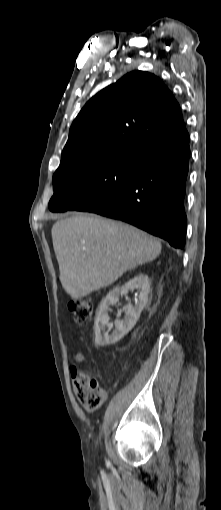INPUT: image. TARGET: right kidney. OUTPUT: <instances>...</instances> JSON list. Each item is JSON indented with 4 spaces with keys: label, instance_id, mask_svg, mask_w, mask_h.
I'll list each match as a JSON object with an SVG mask.
<instances>
[{
    "label": "right kidney",
    "instance_id": "ca27d5eb",
    "mask_svg": "<svg viewBox=\"0 0 221 510\" xmlns=\"http://www.w3.org/2000/svg\"><path fill=\"white\" fill-rule=\"evenodd\" d=\"M138 290V300L135 305L127 304L123 307L125 312L124 320L117 319L114 322L115 329L112 334L109 331L113 328V324L109 322L108 310L109 306L119 301L120 295H126L129 290ZM150 292V281L147 275L139 274L133 279L125 283L123 286L115 287L101 301L97 311L94 323L95 345L103 347L114 344L122 339L136 324L140 314L147 303L148 294Z\"/></svg>",
    "mask_w": 221,
    "mask_h": 510
}]
</instances>
